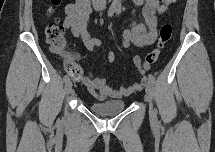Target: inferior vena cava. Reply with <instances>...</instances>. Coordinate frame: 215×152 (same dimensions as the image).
Wrapping results in <instances>:
<instances>
[{
  "label": "inferior vena cava",
  "instance_id": "inferior-vena-cava-1",
  "mask_svg": "<svg viewBox=\"0 0 215 152\" xmlns=\"http://www.w3.org/2000/svg\"><path fill=\"white\" fill-rule=\"evenodd\" d=\"M102 7H105L106 0H96Z\"/></svg>",
  "mask_w": 215,
  "mask_h": 152
}]
</instances>
